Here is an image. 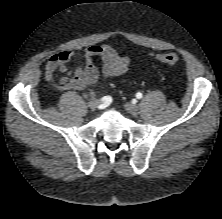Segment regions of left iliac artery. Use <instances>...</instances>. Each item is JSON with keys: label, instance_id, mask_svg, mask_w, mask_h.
Returning a JSON list of instances; mask_svg holds the SVG:
<instances>
[{"label": "left iliac artery", "instance_id": "left-iliac-artery-1", "mask_svg": "<svg viewBox=\"0 0 222 219\" xmlns=\"http://www.w3.org/2000/svg\"><path fill=\"white\" fill-rule=\"evenodd\" d=\"M136 97H137L138 99H141V98L143 97V95H142V93L138 92V93H136Z\"/></svg>", "mask_w": 222, "mask_h": 219}]
</instances>
